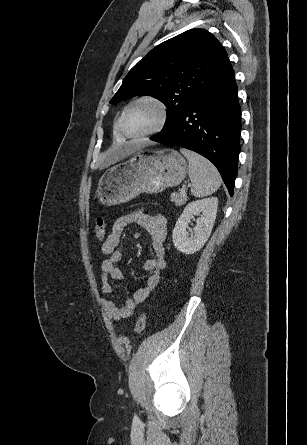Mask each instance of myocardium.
I'll use <instances>...</instances> for the list:
<instances>
[{
	"instance_id": "1",
	"label": "myocardium",
	"mask_w": 307,
	"mask_h": 445,
	"mask_svg": "<svg viewBox=\"0 0 307 445\" xmlns=\"http://www.w3.org/2000/svg\"><path fill=\"white\" fill-rule=\"evenodd\" d=\"M151 103L154 104L160 112V119L158 124L148 130V131H144L141 133H131L128 130L127 124H126V118H127V113L128 110L131 106L138 104V103ZM170 119V111L168 106L159 98L151 96V95H144V96H140L136 99H134L133 101H131L130 103H128L126 105V107L124 108L122 117H121V131L123 133V135H125L128 138H141V137H147V136H152V135H156L160 132H162L166 126L168 125Z\"/></svg>"
}]
</instances>
